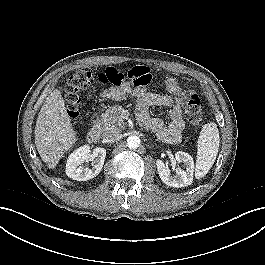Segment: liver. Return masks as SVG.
Masks as SVG:
<instances>
[{"label":"liver","mask_w":265,"mask_h":265,"mask_svg":"<svg viewBox=\"0 0 265 265\" xmlns=\"http://www.w3.org/2000/svg\"><path fill=\"white\" fill-rule=\"evenodd\" d=\"M34 134L38 153L50 169L78 140L58 89L51 92L40 109Z\"/></svg>","instance_id":"obj_1"}]
</instances>
